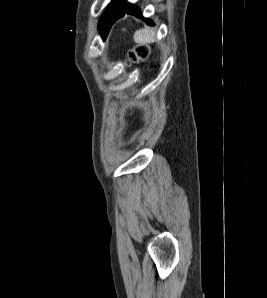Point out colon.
I'll list each match as a JSON object with an SVG mask.
<instances>
[{
	"label": "colon",
	"instance_id": "1",
	"mask_svg": "<svg viewBox=\"0 0 267 298\" xmlns=\"http://www.w3.org/2000/svg\"><path fill=\"white\" fill-rule=\"evenodd\" d=\"M150 50L147 46L138 45L131 49L127 56L128 63H136L148 57Z\"/></svg>",
	"mask_w": 267,
	"mask_h": 298
}]
</instances>
